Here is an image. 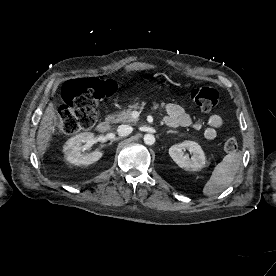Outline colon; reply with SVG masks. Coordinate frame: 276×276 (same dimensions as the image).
Returning <instances> with one entry per match:
<instances>
[{"label":"colon","instance_id":"1","mask_svg":"<svg viewBox=\"0 0 276 276\" xmlns=\"http://www.w3.org/2000/svg\"><path fill=\"white\" fill-rule=\"evenodd\" d=\"M116 86L109 80L79 78L69 80L63 87L64 105L55 111L53 132L74 134L80 130H89L97 119L98 102L112 95ZM191 100L203 112H211L219 102L218 91L211 87H197L190 92ZM238 142L235 137H228L224 142L226 152H235Z\"/></svg>","mask_w":276,"mask_h":276}]
</instances>
